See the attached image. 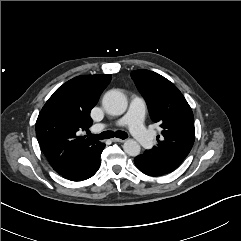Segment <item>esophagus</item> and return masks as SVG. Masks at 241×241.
Segmentation results:
<instances>
[{"label":"esophagus","instance_id":"esophagus-1","mask_svg":"<svg viewBox=\"0 0 241 241\" xmlns=\"http://www.w3.org/2000/svg\"><path fill=\"white\" fill-rule=\"evenodd\" d=\"M112 141H113V142L122 143V142H124L125 140H124V139H119V138H113Z\"/></svg>","mask_w":241,"mask_h":241}]
</instances>
